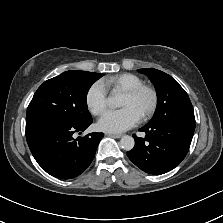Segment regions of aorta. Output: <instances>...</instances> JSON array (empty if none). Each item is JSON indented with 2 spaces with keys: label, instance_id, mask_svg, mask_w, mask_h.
Masks as SVG:
<instances>
[{
  "label": "aorta",
  "instance_id": "obj_1",
  "mask_svg": "<svg viewBox=\"0 0 223 223\" xmlns=\"http://www.w3.org/2000/svg\"><path fill=\"white\" fill-rule=\"evenodd\" d=\"M108 104L110 107H118L121 105V102L117 95H113L109 98ZM120 145L124 150H131L134 146V138L129 135H124L120 139Z\"/></svg>",
  "mask_w": 223,
  "mask_h": 223
}]
</instances>
